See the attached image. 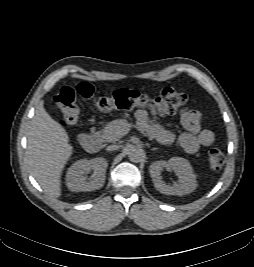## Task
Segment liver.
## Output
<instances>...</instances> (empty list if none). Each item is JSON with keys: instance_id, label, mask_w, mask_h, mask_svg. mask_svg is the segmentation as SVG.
Segmentation results:
<instances>
[{"instance_id": "obj_1", "label": "liver", "mask_w": 254, "mask_h": 267, "mask_svg": "<svg viewBox=\"0 0 254 267\" xmlns=\"http://www.w3.org/2000/svg\"><path fill=\"white\" fill-rule=\"evenodd\" d=\"M26 159L31 174L52 197L61 196V175L73 153L66 130L51 118L40 101L27 133Z\"/></svg>"}]
</instances>
